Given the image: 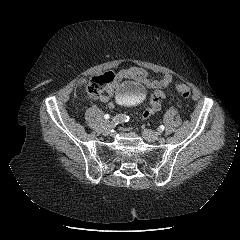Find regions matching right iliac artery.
<instances>
[{"label": "right iliac artery", "instance_id": "obj_1", "mask_svg": "<svg viewBox=\"0 0 240 240\" xmlns=\"http://www.w3.org/2000/svg\"><path fill=\"white\" fill-rule=\"evenodd\" d=\"M112 121L115 124L128 122L129 121V116H127L125 114H118L113 119L109 118L107 121L106 120L104 122L101 121L99 123V126L97 127L98 129L96 130V132L99 134L101 132V128H103L104 125H106L107 123L108 124L111 123Z\"/></svg>", "mask_w": 240, "mask_h": 240}]
</instances>
